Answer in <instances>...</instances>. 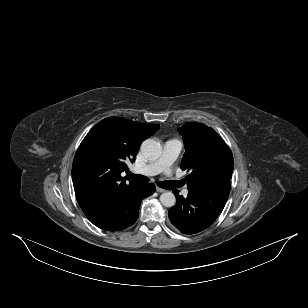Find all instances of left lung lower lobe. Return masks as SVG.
Here are the masks:
<instances>
[{"mask_svg": "<svg viewBox=\"0 0 308 308\" xmlns=\"http://www.w3.org/2000/svg\"><path fill=\"white\" fill-rule=\"evenodd\" d=\"M177 202L169 212L171 223L183 234H194L208 228L220 215L230 193V180L189 190L187 198L174 190Z\"/></svg>", "mask_w": 308, "mask_h": 308, "instance_id": "obj_1", "label": "left lung lower lobe"}]
</instances>
